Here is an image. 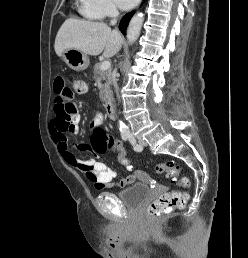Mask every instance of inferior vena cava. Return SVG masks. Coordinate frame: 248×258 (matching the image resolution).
<instances>
[{
	"instance_id": "inferior-vena-cava-1",
	"label": "inferior vena cava",
	"mask_w": 248,
	"mask_h": 258,
	"mask_svg": "<svg viewBox=\"0 0 248 258\" xmlns=\"http://www.w3.org/2000/svg\"><path fill=\"white\" fill-rule=\"evenodd\" d=\"M109 15H110V17L112 18V20H111V25H115L116 22H117V19H116V18L118 17L119 12H118L117 8H116L114 5H111V6H110ZM115 72H116V70H115ZM114 84H115L116 92H117V95H118V86H117L116 81H115Z\"/></svg>"
}]
</instances>
